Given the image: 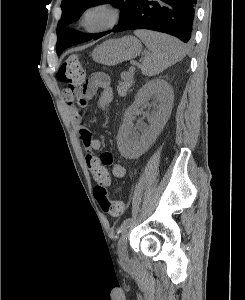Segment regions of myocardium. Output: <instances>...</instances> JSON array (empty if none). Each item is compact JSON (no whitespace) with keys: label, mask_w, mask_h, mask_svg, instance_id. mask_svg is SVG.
Listing matches in <instances>:
<instances>
[{"label":"myocardium","mask_w":245,"mask_h":300,"mask_svg":"<svg viewBox=\"0 0 245 300\" xmlns=\"http://www.w3.org/2000/svg\"><path fill=\"white\" fill-rule=\"evenodd\" d=\"M96 11H102L106 14L107 20L100 26L90 27L87 24L88 16ZM121 18L120 8L110 1H98L88 5L81 13L80 25L88 32L98 33L113 28Z\"/></svg>","instance_id":"myocardium-1"}]
</instances>
